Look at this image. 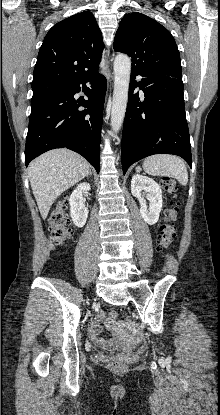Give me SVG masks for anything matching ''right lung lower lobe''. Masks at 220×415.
I'll return each instance as SVG.
<instances>
[{
  "label": "right lung lower lobe",
  "mask_w": 220,
  "mask_h": 415,
  "mask_svg": "<svg viewBox=\"0 0 220 415\" xmlns=\"http://www.w3.org/2000/svg\"><path fill=\"white\" fill-rule=\"evenodd\" d=\"M88 100L76 101L74 94L82 84ZM106 78L98 71L72 81L58 96L32 105L25 147V164L40 154L66 147L81 154L100 170V140ZM83 106L87 109L79 110Z\"/></svg>",
  "instance_id": "obj_1"
}]
</instances>
